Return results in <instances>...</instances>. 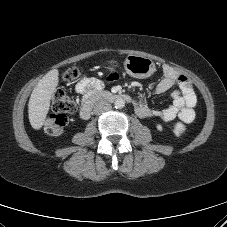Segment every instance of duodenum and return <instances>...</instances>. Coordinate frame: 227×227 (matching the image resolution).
<instances>
[{
  "label": "duodenum",
  "instance_id": "1",
  "mask_svg": "<svg viewBox=\"0 0 227 227\" xmlns=\"http://www.w3.org/2000/svg\"><path fill=\"white\" fill-rule=\"evenodd\" d=\"M130 101V97L125 94L111 92H96L85 98L80 109V116L83 119H88L91 115L93 106L98 102H114L116 100Z\"/></svg>",
  "mask_w": 227,
  "mask_h": 227
}]
</instances>
